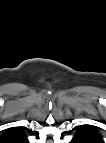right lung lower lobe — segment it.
<instances>
[{"mask_svg": "<svg viewBox=\"0 0 106 143\" xmlns=\"http://www.w3.org/2000/svg\"><path fill=\"white\" fill-rule=\"evenodd\" d=\"M22 143H28V140H27V138H25V140H24Z\"/></svg>", "mask_w": 106, "mask_h": 143, "instance_id": "1", "label": "right lung lower lobe"}]
</instances>
